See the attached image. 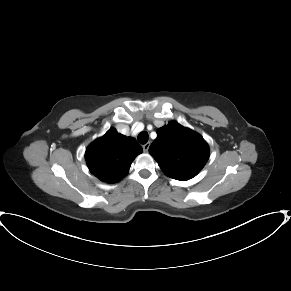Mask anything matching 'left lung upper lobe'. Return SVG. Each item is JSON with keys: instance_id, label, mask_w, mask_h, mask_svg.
I'll use <instances>...</instances> for the list:
<instances>
[{"instance_id": "5c2ea615", "label": "left lung upper lobe", "mask_w": 291, "mask_h": 291, "mask_svg": "<svg viewBox=\"0 0 291 291\" xmlns=\"http://www.w3.org/2000/svg\"><path fill=\"white\" fill-rule=\"evenodd\" d=\"M149 153L167 176L185 181L204 167L209 147L198 133L172 121L157 130Z\"/></svg>"}]
</instances>
